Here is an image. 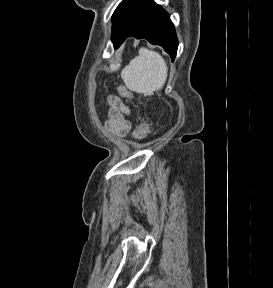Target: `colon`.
<instances>
[{
    "label": "colon",
    "mask_w": 273,
    "mask_h": 288,
    "mask_svg": "<svg viewBox=\"0 0 273 288\" xmlns=\"http://www.w3.org/2000/svg\"><path fill=\"white\" fill-rule=\"evenodd\" d=\"M118 92L121 97L127 99H131L133 97L132 92L124 85H119ZM150 130V124L148 123V121L143 120L137 125V127L133 131V137L136 140H143L149 135Z\"/></svg>",
    "instance_id": "1"
}]
</instances>
